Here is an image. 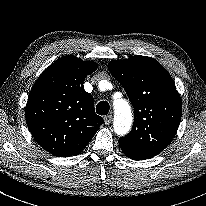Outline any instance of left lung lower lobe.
I'll list each match as a JSON object with an SVG mask.
<instances>
[{
    "instance_id": "0a47b994",
    "label": "left lung lower lobe",
    "mask_w": 206,
    "mask_h": 206,
    "mask_svg": "<svg viewBox=\"0 0 206 206\" xmlns=\"http://www.w3.org/2000/svg\"><path fill=\"white\" fill-rule=\"evenodd\" d=\"M120 147L122 151L125 153V155L133 160H143L153 157V155L145 154L133 147L124 146L122 144H120Z\"/></svg>"
}]
</instances>
